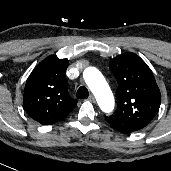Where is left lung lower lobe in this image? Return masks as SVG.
<instances>
[{"mask_svg": "<svg viewBox=\"0 0 171 171\" xmlns=\"http://www.w3.org/2000/svg\"><path fill=\"white\" fill-rule=\"evenodd\" d=\"M116 130H118L119 132L124 133V134H129V133H132V132L139 131L141 129L140 128H135V127H126V128H122V129H116Z\"/></svg>", "mask_w": 171, "mask_h": 171, "instance_id": "1", "label": "left lung lower lobe"}]
</instances>
